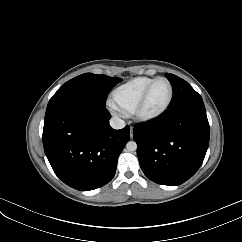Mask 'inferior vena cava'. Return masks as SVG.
Listing matches in <instances>:
<instances>
[{
	"instance_id": "1",
	"label": "inferior vena cava",
	"mask_w": 242,
	"mask_h": 242,
	"mask_svg": "<svg viewBox=\"0 0 242 242\" xmlns=\"http://www.w3.org/2000/svg\"><path fill=\"white\" fill-rule=\"evenodd\" d=\"M110 126L113 129H122L125 127V122H124V120H122L118 117H113L110 119Z\"/></svg>"
}]
</instances>
